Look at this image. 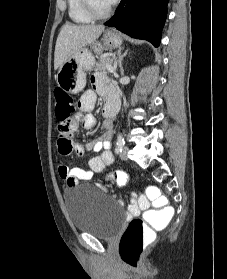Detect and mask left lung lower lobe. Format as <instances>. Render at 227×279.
<instances>
[{"label": "left lung lower lobe", "mask_w": 227, "mask_h": 279, "mask_svg": "<svg viewBox=\"0 0 227 279\" xmlns=\"http://www.w3.org/2000/svg\"><path fill=\"white\" fill-rule=\"evenodd\" d=\"M169 0H121L116 13L104 25L158 47Z\"/></svg>", "instance_id": "0a47b994"}]
</instances>
